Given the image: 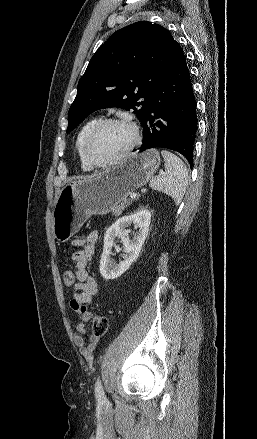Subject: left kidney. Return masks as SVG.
<instances>
[{"instance_id":"obj_1","label":"left kidney","mask_w":257,"mask_h":439,"mask_svg":"<svg viewBox=\"0 0 257 439\" xmlns=\"http://www.w3.org/2000/svg\"><path fill=\"white\" fill-rule=\"evenodd\" d=\"M151 213L146 209L138 210L136 213L123 216L112 224L104 235V248L100 260V273L104 279L110 280L121 276L139 256L140 250L149 233ZM134 224L138 232L130 239L128 230L125 228ZM120 237L124 245L123 260L115 263L111 259L112 247L115 245V238Z\"/></svg>"}]
</instances>
